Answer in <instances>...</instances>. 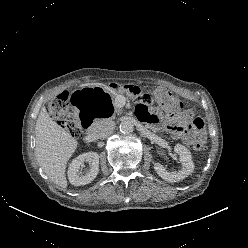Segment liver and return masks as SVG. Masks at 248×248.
<instances>
[{
  "instance_id": "liver-1",
  "label": "liver",
  "mask_w": 248,
  "mask_h": 248,
  "mask_svg": "<svg viewBox=\"0 0 248 248\" xmlns=\"http://www.w3.org/2000/svg\"><path fill=\"white\" fill-rule=\"evenodd\" d=\"M36 159L49 179L65 189L67 187L66 165L75 152L78 142L42 108L35 126Z\"/></svg>"
}]
</instances>
